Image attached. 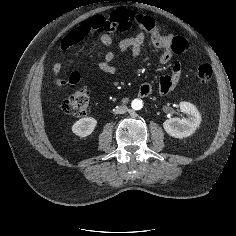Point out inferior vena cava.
Masks as SVG:
<instances>
[{
    "label": "inferior vena cava",
    "instance_id": "602c4592",
    "mask_svg": "<svg viewBox=\"0 0 236 236\" xmlns=\"http://www.w3.org/2000/svg\"><path fill=\"white\" fill-rule=\"evenodd\" d=\"M128 111V108L127 106L125 105H122V106H118L116 109H115V114H124Z\"/></svg>",
    "mask_w": 236,
    "mask_h": 236
}]
</instances>
